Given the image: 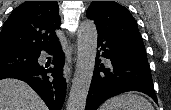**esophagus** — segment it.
<instances>
[{"mask_svg": "<svg viewBox=\"0 0 171 110\" xmlns=\"http://www.w3.org/2000/svg\"><path fill=\"white\" fill-rule=\"evenodd\" d=\"M63 75H64V78L66 79L67 83H69L70 76H71V64H70V62H67L65 64L64 69H63Z\"/></svg>", "mask_w": 171, "mask_h": 110, "instance_id": "1", "label": "esophagus"}]
</instances>
